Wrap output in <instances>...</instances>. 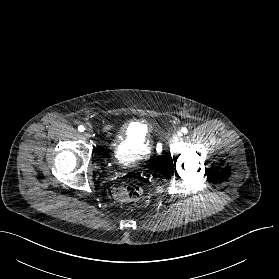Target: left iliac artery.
Segmentation results:
<instances>
[{"instance_id":"1","label":"left iliac artery","mask_w":279,"mask_h":279,"mask_svg":"<svg viewBox=\"0 0 279 279\" xmlns=\"http://www.w3.org/2000/svg\"><path fill=\"white\" fill-rule=\"evenodd\" d=\"M187 128H185V127H183L182 129H181V132L183 133V134H185V133H187Z\"/></svg>"}]
</instances>
